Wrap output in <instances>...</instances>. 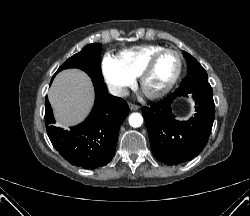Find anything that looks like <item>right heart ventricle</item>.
<instances>
[{"label":"right heart ventricle","instance_id":"e07e8e85","mask_svg":"<svg viewBox=\"0 0 250 216\" xmlns=\"http://www.w3.org/2000/svg\"><path fill=\"white\" fill-rule=\"evenodd\" d=\"M160 45H141L121 51L116 59L120 65L134 78L138 77L149 58L163 49Z\"/></svg>","mask_w":250,"mask_h":216}]
</instances>
